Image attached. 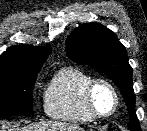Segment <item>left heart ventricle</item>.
Masks as SVG:
<instances>
[{
    "label": "left heart ventricle",
    "instance_id": "left-heart-ventricle-1",
    "mask_svg": "<svg viewBox=\"0 0 147 131\" xmlns=\"http://www.w3.org/2000/svg\"><path fill=\"white\" fill-rule=\"evenodd\" d=\"M93 101L97 111L102 114L109 113L115 104L114 95L111 89L104 84H98L95 87Z\"/></svg>",
    "mask_w": 147,
    "mask_h": 131
}]
</instances>
